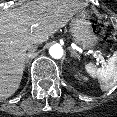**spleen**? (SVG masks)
<instances>
[{"label": "spleen", "instance_id": "1", "mask_svg": "<svg viewBox=\"0 0 117 117\" xmlns=\"http://www.w3.org/2000/svg\"><path fill=\"white\" fill-rule=\"evenodd\" d=\"M117 51L109 58L107 64L97 69L96 65L89 63L85 65V70L92 78H98L102 81V87L108 89L117 82ZM110 80H113L109 82Z\"/></svg>", "mask_w": 117, "mask_h": 117}]
</instances>
